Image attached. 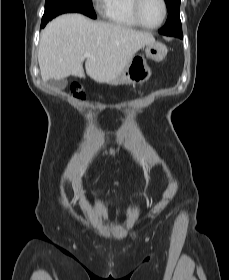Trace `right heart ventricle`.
Returning <instances> with one entry per match:
<instances>
[{
  "label": "right heart ventricle",
  "instance_id": "1",
  "mask_svg": "<svg viewBox=\"0 0 229 280\" xmlns=\"http://www.w3.org/2000/svg\"><path fill=\"white\" fill-rule=\"evenodd\" d=\"M133 0H107L103 18L110 24L122 28H139L132 13Z\"/></svg>",
  "mask_w": 229,
  "mask_h": 280
}]
</instances>
